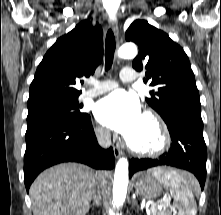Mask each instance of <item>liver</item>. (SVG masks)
Here are the masks:
<instances>
[{"instance_id": "liver-1", "label": "liver", "mask_w": 221, "mask_h": 215, "mask_svg": "<svg viewBox=\"0 0 221 215\" xmlns=\"http://www.w3.org/2000/svg\"><path fill=\"white\" fill-rule=\"evenodd\" d=\"M106 172L88 166L64 163L43 171L30 187L34 215H86L97 183H104Z\"/></svg>"}]
</instances>
